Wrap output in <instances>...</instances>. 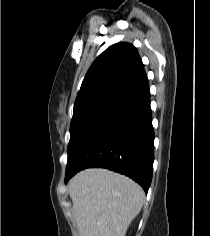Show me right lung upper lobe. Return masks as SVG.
Wrapping results in <instances>:
<instances>
[{
    "label": "right lung upper lobe",
    "mask_w": 210,
    "mask_h": 236,
    "mask_svg": "<svg viewBox=\"0 0 210 236\" xmlns=\"http://www.w3.org/2000/svg\"><path fill=\"white\" fill-rule=\"evenodd\" d=\"M146 81L147 76L137 49L129 43L114 44L91 65L75 105L118 88L132 91Z\"/></svg>",
    "instance_id": "1"
}]
</instances>
